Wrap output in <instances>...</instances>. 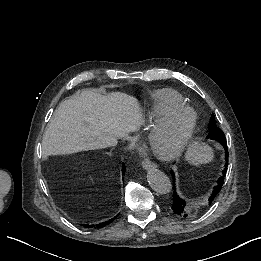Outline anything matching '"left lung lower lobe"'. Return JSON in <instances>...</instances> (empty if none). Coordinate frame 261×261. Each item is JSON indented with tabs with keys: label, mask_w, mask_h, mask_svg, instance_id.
Returning a JSON list of instances; mask_svg holds the SVG:
<instances>
[{
	"label": "left lung lower lobe",
	"mask_w": 261,
	"mask_h": 261,
	"mask_svg": "<svg viewBox=\"0 0 261 261\" xmlns=\"http://www.w3.org/2000/svg\"><path fill=\"white\" fill-rule=\"evenodd\" d=\"M223 147H224V149L226 151L225 168L222 171V175L217 180V185L214 187V189L212 191V194L208 198L209 205L212 203L214 198L217 196V194L221 190L222 185L224 183L226 169H227V166H228V149H227V144L223 145ZM171 174H172L173 177H175L173 171L171 172ZM174 189H175V187H174ZM171 209H172L173 214H175L176 216H179V217H187L188 215L193 213V208L190 205H188V206L186 205V202L179 197V195L176 193V190L174 191L173 204H172Z\"/></svg>",
	"instance_id": "left-lung-lower-lobe-1"
}]
</instances>
